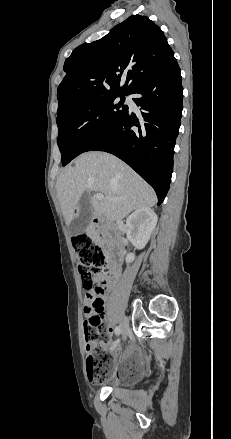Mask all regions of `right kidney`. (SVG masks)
<instances>
[{
	"instance_id": "right-kidney-1",
	"label": "right kidney",
	"mask_w": 231,
	"mask_h": 439,
	"mask_svg": "<svg viewBox=\"0 0 231 439\" xmlns=\"http://www.w3.org/2000/svg\"><path fill=\"white\" fill-rule=\"evenodd\" d=\"M157 220V215L151 208H140L127 218V237L136 249H143L146 246L151 233L156 227ZM134 259L135 255L133 253L126 255L127 263L132 262Z\"/></svg>"
}]
</instances>
